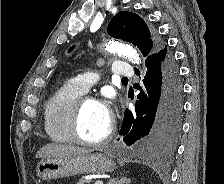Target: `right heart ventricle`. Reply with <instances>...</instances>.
I'll list each match as a JSON object with an SVG mask.
<instances>
[{
  "instance_id": "obj_1",
  "label": "right heart ventricle",
  "mask_w": 224,
  "mask_h": 184,
  "mask_svg": "<svg viewBox=\"0 0 224 184\" xmlns=\"http://www.w3.org/2000/svg\"><path fill=\"white\" fill-rule=\"evenodd\" d=\"M83 92L72 83L60 87L49 99L44 112L45 131L56 143H72L70 118L77 99Z\"/></svg>"
}]
</instances>
